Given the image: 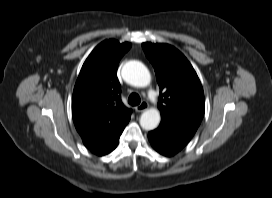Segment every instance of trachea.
<instances>
[{"mask_svg":"<svg viewBox=\"0 0 272 198\" xmlns=\"http://www.w3.org/2000/svg\"><path fill=\"white\" fill-rule=\"evenodd\" d=\"M140 101V96L137 93H131L128 97V103L132 106L139 105Z\"/></svg>","mask_w":272,"mask_h":198,"instance_id":"obj_1","label":"trachea"}]
</instances>
